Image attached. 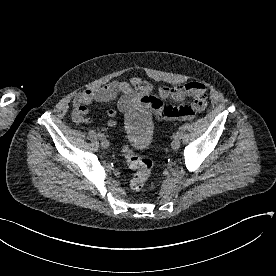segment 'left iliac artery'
I'll list each match as a JSON object with an SVG mask.
<instances>
[{
	"label": "left iliac artery",
	"mask_w": 276,
	"mask_h": 276,
	"mask_svg": "<svg viewBox=\"0 0 276 276\" xmlns=\"http://www.w3.org/2000/svg\"><path fill=\"white\" fill-rule=\"evenodd\" d=\"M174 138L181 139V133L177 131L175 135H173Z\"/></svg>",
	"instance_id": "obj_1"
}]
</instances>
